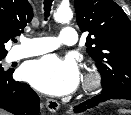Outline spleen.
<instances>
[{"instance_id":"3e777b00","label":"spleen","mask_w":131,"mask_h":115,"mask_svg":"<svg viewBox=\"0 0 131 115\" xmlns=\"http://www.w3.org/2000/svg\"><path fill=\"white\" fill-rule=\"evenodd\" d=\"M119 113L126 114V113H131V110H126V109H119Z\"/></svg>"}]
</instances>
